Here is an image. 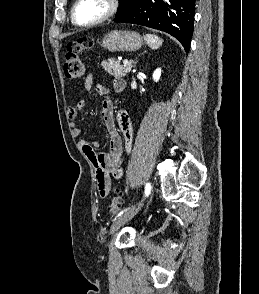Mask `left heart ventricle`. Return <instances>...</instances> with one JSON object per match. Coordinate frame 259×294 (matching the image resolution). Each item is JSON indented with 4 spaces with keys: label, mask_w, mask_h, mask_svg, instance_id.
Masks as SVG:
<instances>
[{
    "label": "left heart ventricle",
    "mask_w": 259,
    "mask_h": 294,
    "mask_svg": "<svg viewBox=\"0 0 259 294\" xmlns=\"http://www.w3.org/2000/svg\"><path fill=\"white\" fill-rule=\"evenodd\" d=\"M108 9V0H81L76 17L80 23H89L99 19Z\"/></svg>",
    "instance_id": "b2bd125f"
}]
</instances>
